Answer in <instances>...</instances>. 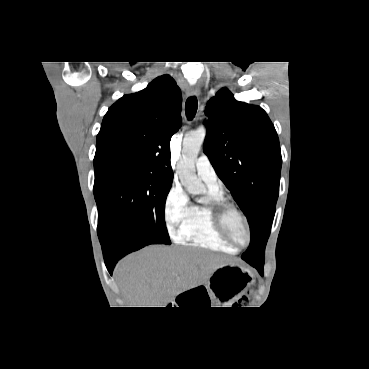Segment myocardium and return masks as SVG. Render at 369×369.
<instances>
[{
  "instance_id": "1",
  "label": "myocardium",
  "mask_w": 369,
  "mask_h": 369,
  "mask_svg": "<svg viewBox=\"0 0 369 369\" xmlns=\"http://www.w3.org/2000/svg\"><path fill=\"white\" fill-rule=\"evenodd\" d=\"M207 204L212 211L214 225L222 238L236 249L248 247L251 242V229L244 213L237 206L224 198L211 199ZM231 214L237 215L243 224L247 235V240L244 244L238 243L232 236L228 226V218Z\"/></svg>"
}]
</instances>
